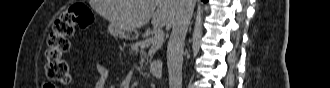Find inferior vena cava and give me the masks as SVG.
Wrapping results in <instances>:
<instances>
[{
    "mask_svg": "<svg viewBox=\"0 0 330 88\" xmlns=\"http://www.w3.org/2000/svg\"><path fill=\"white\" fill-rule=\"evenodd\" d=\"M180 7L167 46L169 87H182L183 48L187 29L193 14V0H179Z\"/></svg>",
    "mask_w": 330,
    "mask_h": 88,
    "instance_id": "602c4592",
    "label": "inferior vena cava"
}]
</instances>
